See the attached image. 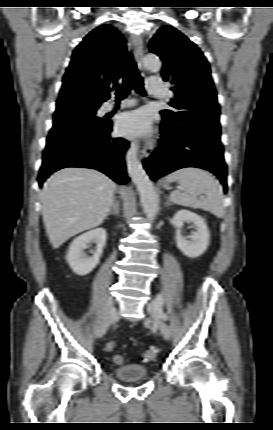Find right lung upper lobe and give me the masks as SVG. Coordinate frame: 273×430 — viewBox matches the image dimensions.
I'll use <instances>...</instances> for the list:
<instances>
[{"label": "right lung upper lobe", "mask_w": 273, "mask_h": 430, "mask_svg": "<svg viewBox=\"0 0 273 430\" xmlns=\"http://www.w3.org/2000/svg\"><path fill=\"white\" fill-rule=\"evenodd\" d=\"M125 53V40L114 27L101 25L91 31L73 51L57 106L70 100L100 106L109 99L123 75Z\"/></svg>", "instance_id": "cb5924a9"}]
</instances>
